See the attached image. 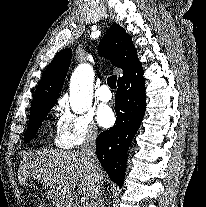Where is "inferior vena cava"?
<instances>
[{
	"instance_id": "inferior-vena-cava-1",
	"label": "inferior vena cava",
	"mask_w": 206,
	"mask_h": 207,
	"mask_svg": "<svg viewBox=\"0 0 206 207\" xmlns=\"http://www.w3.org/2000/svg\"><path fill=\"white\" fill-rule=\"evenodd\" d=\"M96 136L97 133L95 131H91L82 146L81 152L84 155L87 164L92 171L93 175V188H94V196L95 202H91L87 205V207H102V168L99 164V161L96 157Z\"/></svg>"
}]
</instances>
